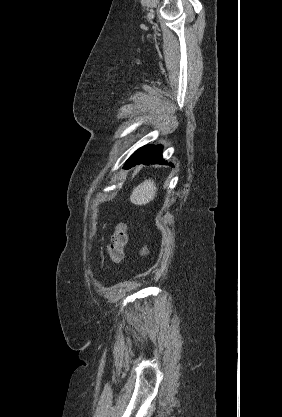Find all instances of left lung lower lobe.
Wrapping results in <instances>:
<instances>
[{"mask_svg":"<svg viewBox=\"0 0 282 417\" xmlns=\"http://www.w3.org/2000/svg\"><path fill=\"white\" fill-rule=\"evenodd\" d=\"M161 152H162L161 145L144 146L138 149L133 155H131V157L127 160L123 168L130 169L133 166L139 165L141 163H143L144 165L157 164V163L172 165L171 163H168L163 160Z\"/></svg>","mask_w":282,"mask_h":417,"instance_id":"obj_1","label":"left lung lower lobe"}]
</instances>
